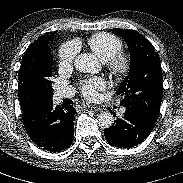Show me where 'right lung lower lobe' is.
<instances>
[{
  "label": "right lung lower lobe",
  "instance_id": "right-lung-lower-lobe-1",
  "mask_svg": "<svg viewBox=\"0 0 183 183\" xmlns=\"http://www.w3.org/2000/svg\"><path fill=\"white\" fill-rule=\"evenodd\" d=\"M23 124L31 140L49 152H61L72 144L74 107L57 105L52 99L30 103L21 107Z\"/></svg>",
  "mask_w": 183,
  "mask_h": 183
}]
</instances>
